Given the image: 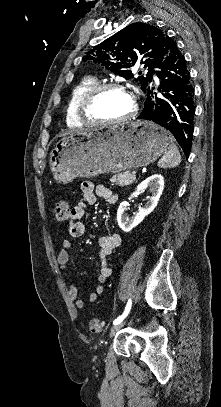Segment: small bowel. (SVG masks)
<instances>
[{
  "label": "small bowel",
  "mask_w": 221,
  "mask_h": 407,
  "mask_svg": "<svg viewBox=\"0 0 221 407\" xmlns=\"http://www.w3.org/2000/svg\"><path fill=\"white\" fill-rule=\"evenodd\" d=\"M82 198L81 201L72 208L71 219L68 226L69 234L74 237H80L85 232V226L82 221L84 214V209L86 206L96 204L98 197L104 198L109 204H115L118 200L117 194L107 189L103 185L96 186L93 182L85 181L81 184ZM101 267L100 272L97 277L98 284L95 287L94 292H92L88 301L93 303L96 301L98 295L102 294L104 291V286L107 283L109 277L112 274V267L108 261V256L120 245V237L116 233H111L108 235H103L99 238ZM71 243L69 240H63L61 247L56 256L57 266L62 270L66 271L69 266L70 261V250ZM68 295L71 302L79 309L85 306L84 301L79 297L78 288L70 284L68 287Z\"/></svg>",
  "instance_id": "c3829d8e"
}]
</instances>
